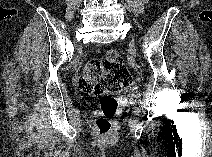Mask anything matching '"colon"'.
<instances>
[{"label": "colon", "mask_w": 212, "mask_h": 157, "mask_svg": "<svg viewBox=\"0 0 212 157\" xmlns=\"http://www.w3.org/2000/svg\"><path fill=\"white\" fill-rule=\"evenodd\" d=\"M132 83V75L117 50H109L100 60H89L78 79L80 89L88 94L106 95L100 102L101 115L95 126L100 136H106L112 129V118L117 112V101L110 96Z\"/></svg>", "instance_id": "colon-1"}]
</instances>
